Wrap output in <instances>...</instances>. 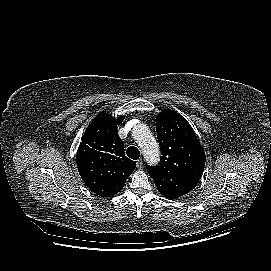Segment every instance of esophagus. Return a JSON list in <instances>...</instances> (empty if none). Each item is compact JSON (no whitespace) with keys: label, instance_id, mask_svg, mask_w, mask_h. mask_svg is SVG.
Masks as SVG:
<instances>
[{"label":"esophagus","instance_id":"1","mask_svg":"<svg viewBox=\"0 0 271 271\" xmlns=\"http://www.w3.org/2000/svg\"><path fill=\"white\" fill-rule=\"evenodd\" d=\"M136 165H137V168H138V169H141L142 166H143V161H142V159H138L137 162H136Z\"/></svg>","mask_w":271,"mask_h":271}]
</instances>
